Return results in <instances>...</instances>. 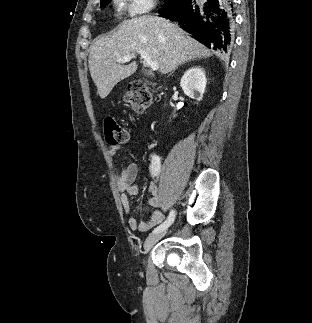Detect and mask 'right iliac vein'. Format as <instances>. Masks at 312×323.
<instances>
[{
	"mask_svg": "<svg viewBox=\"0 0 312 323\" xmlns=\"http://www.w3.org/2000/svg\"><path fill=\"white\" fill-rule=\"evenodd\" d=\"M164 234L165 233L163 232L150 234L145 240L144 251H149L153 247V245L164 236Z\"/></svg>",
	"mask_w": 312,
	"mask_h": 323,
	"instance_id": "1",
	"label": "right iliac vein"
}]
</instances>
